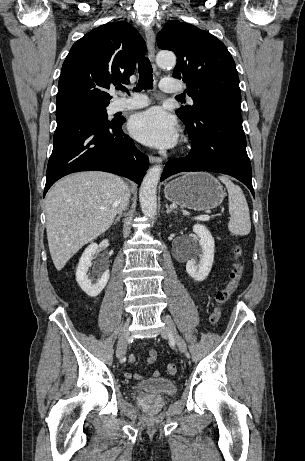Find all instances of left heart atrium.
Returning a JSON list of instances; mask_svg holds the SVG:
<instances>
[{"label": "left heart atrium", "instance_id": "1", "mask_svg": "<svg viewBox=\"0 0 305 461\" xmlns=\"http://www.w3.org/2000/svg\"><path fill=\"white\" fill-rule=\"evenodd\" d=\"M129 128L133 137L152 147H171L178 139L174 118L159 107L134 115Z\"/></svg>", "mask_w": 305, "mask_h": 461}]
</instances>
